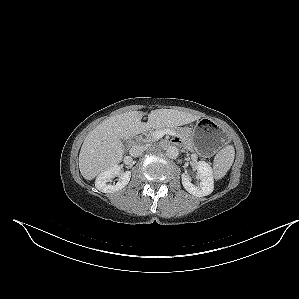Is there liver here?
<instances>
[{"instance_id": "1", "label": "liver", "mask_w": 299, "mask_h": 299, "mask_svg": "<svg viewBox=\"0 0 299 299\" xmlns=\"http://www.w3.org/2000/svg\"><path fill=\"white\" fill-rule=\"evenodd\" d=\"M144 113L130 111L102 121L86 136L79 154V169L86 180L119 164L124 155L122 140H127L149 128H165L189 124L199 115L171 109L153 110L148 122H141Z\"/></svg>"}]
</instances>
